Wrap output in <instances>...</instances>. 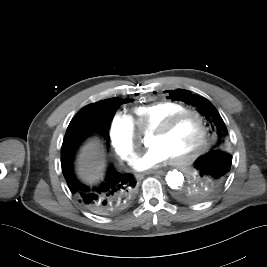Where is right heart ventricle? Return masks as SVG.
<instances>
[{"mask_svg":"<svg viewBox=\"0 0 267 267\" xmlns=\"http://www.w3.org/2000/svg\"><path fill=\"white\" fill-rule=\"evenodd\" d=\"M186 110L188 108L180 103L163 101L136 107L129 118L139 131L147 132L170 116Z\"/></svg>","mask_w":267,"mask_h":267,"instance_id":"obj_1","label":"right heart ventricle"}]
</instances>
